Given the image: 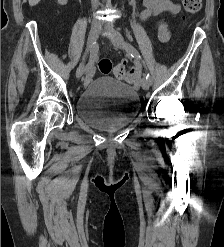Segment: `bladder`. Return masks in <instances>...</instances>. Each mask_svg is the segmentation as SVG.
Segmentation results:
<instances>
[{
    "label": "bladder",
    "mask_w": 224,
    "mask_h": 247,
    "mask_svg": "<svg viewBox=\"0 0 224 247\" xmlns=\"http://www.w3.org/2000/svg\"><path fill=\"white\" fill-rule=\"evenodd\" d=\"M78 117L93 129L115 132L138 115L140 99L130 86L103 76L90 82L76 100Z\"/></svg>",
    "instance_id": "obj_1"
}]
</instances>
